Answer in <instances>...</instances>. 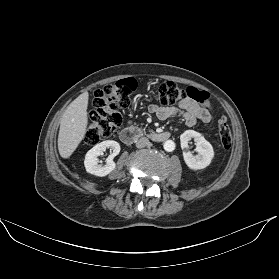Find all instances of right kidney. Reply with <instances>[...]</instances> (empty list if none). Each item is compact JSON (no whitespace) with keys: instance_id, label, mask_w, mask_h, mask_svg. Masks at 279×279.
Returning a JSON list of instances; mask_svg holds the SVG:
<instances>
[{"instance_id":"ca27d5eb","label":"right kidney","mask_w":279,"mask_h":279,"mask_svg":"<svg viewBox=\"0 0 279 279\" xmlns=\"http://www.w3.org/2000/svg\"><path fill=\"white\" fill-rule=\"evenodd\" d=\"M107 148H110L111 154L106 159V164L102 166L99 164L100 161L98 156L102 155ZM119 152L120 145L114 140H106L95 145L85 155L84 166L86 171L99 177L108 175L116 167L113 158L117 156Z\"/></svg>"}]
</instances>
